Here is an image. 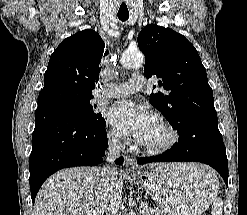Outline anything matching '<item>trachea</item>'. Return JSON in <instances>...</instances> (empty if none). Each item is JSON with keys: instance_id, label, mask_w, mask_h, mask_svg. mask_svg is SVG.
I'll return each instance as SVG.
<instances>
[{"instance_id": "1", "label": "trachea", "mask_w": 247, "mask_h": 215, "mask_svg": "<svg viewBox=\"0 0 247 215\" xmlns=\"http://www.w3.org/2000/svg\"><path fill=\"white\" fill-rule=\"evenodd\" d=\"M117 16L121 21H126L129 17V13H118Z\"/></svg>"}]
</instances>
